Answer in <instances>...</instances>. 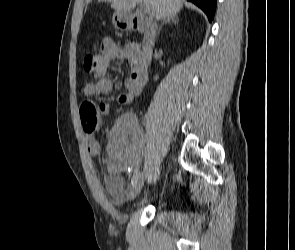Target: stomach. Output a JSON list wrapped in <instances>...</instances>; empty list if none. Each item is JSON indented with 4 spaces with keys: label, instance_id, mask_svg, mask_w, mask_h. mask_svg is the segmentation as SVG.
Wrapping results in <instances>:
<instances>
[{
    "label": "stomach",
    "instance_id": "0dacf381",
    "mask_svg": "<svg viewBox=\"0 0 295 250\" xmlns=\"http://www.w3.org/2000/svg\"><path fill=\"white\" fill-rule=\"evenodd\" d=\"M113 24L117 27V28H122L123 26H125V23L123 21L122 15L120 13H116L113 17Z\"/></svg>",
    "mask_w": 295,
    "mask_h": 250
}]
</instances>
